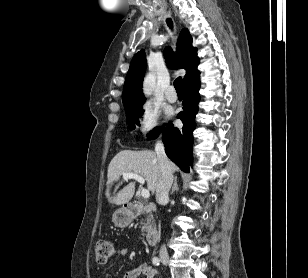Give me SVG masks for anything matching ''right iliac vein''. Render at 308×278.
Listing matches in <instances>:
<instances>
[{
    "label": "right iliac vein",
    "mask_w": 308,
    "mask_h": 278,
    "mask_svg": "<svg viewBox=\"0 0 308 278\" xmlns=\"http://www.w3.org/2000/svg\"><path fill=\"white\" fill-rule=\"evenodd\" d=\"M160 260L163 264L167 265L169 263V255L166 251L160 252Z\"/></svg>",
    "instance_id": "63e3f726"
}]
</instances>
